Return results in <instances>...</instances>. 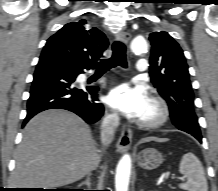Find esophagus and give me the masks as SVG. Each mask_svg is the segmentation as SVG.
I'll return each instance as SVG.
<instances>
[{
  "label": "esophagus",
  "instance_id": "obj_1",
  "mask_svg": "<svg viewBox=\"0 0 218 191\" xmlns=\"http://www.w3.org/2000/svg\"><path fill=\"white\" fill-rule=\"evenodd\" d=\"M117 39L125 44H128L130 42L131 37L129 33L125 31H120L117 34ZM132 136H133L132 130L127 126H124L121 132V136L119 137L116 144L118 152L122 153L130 148L132 143Z\"/></svg>",
  "mask_w": 218,
  "mask_h": 191
}]
</instances>
